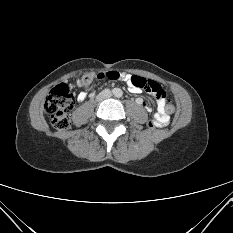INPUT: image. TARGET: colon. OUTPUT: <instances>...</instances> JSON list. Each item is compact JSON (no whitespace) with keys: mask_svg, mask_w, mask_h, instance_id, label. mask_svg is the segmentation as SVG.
Here are the masks:
<instances>
[{"mask_svg":"<svg viewBox=\"0 0 233 233\" xmlns=\"http://www.w3.org/2000/svg\"><path fill=\"white\" fill-rule=\"evenodd\" d=\"M105 78L108 77L106 76ZM96 79H99L97 74L87 73L82 75L79 83L83 87H89ZM131 82L136 88L145 90L146 92L153 94L156 98H165V92L155 81L134 75L131 78ZM73 106L74 97L68 85L59 84L51 90L50 94L45 100L44 109L45 112L51 117V122L55 129L65 131L70 127V120L67 113L73 108ZM166 112H174V106L169 101H167ZM156 125L157 119L153 117V119L148 122V127L154 128L157 127Z\"/></svg>","mask_w":233,"mask_h":233,"instance_id":"1","label":"colon"}]
</instances>
